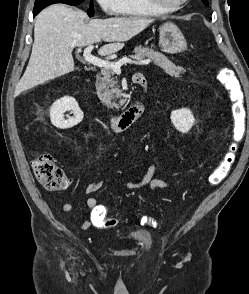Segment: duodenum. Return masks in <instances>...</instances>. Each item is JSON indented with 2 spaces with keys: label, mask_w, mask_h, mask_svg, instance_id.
Here are the masks:
<instances>
[{
  "label": "duodenum",
  "mask_w": 249,
  "mask_h": 294,
  "mask_svg": "<svg viewBox=\"0 0 249 294\" xmlns=\"http://www.w3.org/2000/svg\"><path fill=\"white\" fill-rule=\"evenodd\" d=\"M133 82L139 88V95L136 101L126 111L110 119L111 129L115 132H122L128 129L145 111L147 94L146 79L143 74L136 73L133 76Z\"/></svg>",
  "instance_id": "obj_1"
}]
</instances>
